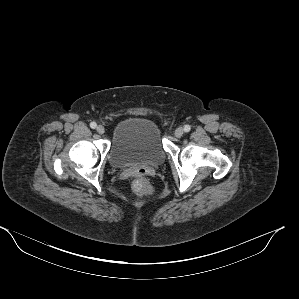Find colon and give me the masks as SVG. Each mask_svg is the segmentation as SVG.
I'll use <instances>...</instances> for the list:
<instances>
[{"instance_id":"1","label":"colon","mask_w":299,"mask_h":299,"mask_svg":"<svg viewBox=\"0 0 299 299\" xmlns=\"http://www.w3.org/2000/svg\"><path fill=\"white\" fill-rule=\"evenodd\" d=\"M132 189L135 193L141 196H147L153 192L151 184L144 177L136 178L132 183Z\"/></svg>"}]
</instances>
